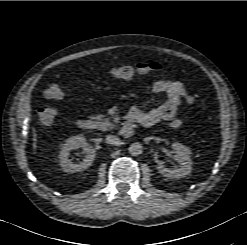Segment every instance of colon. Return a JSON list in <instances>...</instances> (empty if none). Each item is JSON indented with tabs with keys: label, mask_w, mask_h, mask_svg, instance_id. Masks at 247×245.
I'll return each instance as SVG.
<instances>
[{
	"label": "colon",
	"mask_w": 247,
	"mask_h": 245,
	"mask_svg": "<svg viewBox=\"0 0 247 245\" xmlns=\"http://www.w3.org/2000/svg\"><path fill=\"white\" fill-rule=\"evenodd\" d=\"M161 69V66L154 61L151 62H143L139 63L137 65H122V66H116L113 67L109 75L113 79H131L136 76L145 75L152 71H158ZM45 95L49 99L53 100H60L64 97V91L61 88L60 85L56 83L50 84L46 91ZM38 120L43 125H50L52 124L56 117L57 112L55 109L50 107H44L38 110ZM183 124V121L181 119H175L171 122V126L173 128H180Z\"/></svg>",
	"instance_id": "5ec220e1"
}]
</instances>
